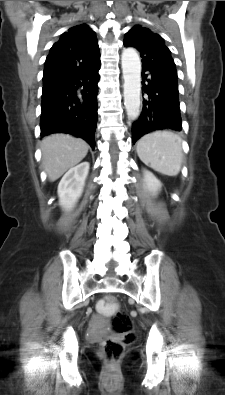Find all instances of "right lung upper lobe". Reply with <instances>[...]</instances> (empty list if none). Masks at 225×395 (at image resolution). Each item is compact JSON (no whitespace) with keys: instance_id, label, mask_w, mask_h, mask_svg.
<instances>
[{"instance_id":"1","label":"right lung upper lobe","mask_w":225,"mask_h":395,"mask_svg":"<svg viewBox=\"0 0 225 395\" xmlns=\"http://www.w3.org/2000/svg\"><path fill=\"white\" fill-rule=\"evenodd\" d=\"M99 59L95 32L86 24L74 26L51 47L45 61L43 83L66 73L89 68Z\"/></svg>"}]
</instances>
